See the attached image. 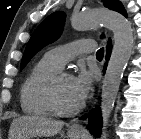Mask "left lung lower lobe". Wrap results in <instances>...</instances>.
<instances>
[{
  "label": "left lung lower lobe",
  "instance_id": "1",
  "mask_svg": "<svg viewBox=\"0 0 141 139\" xmlns=\"http://www.w3.org/2000/svg\"><path fill=\"white\" fill-rule=\"evenodd\" d=\"M110 52H111V41L109 40L108 45H107L106 60L109 59ZM106 66H107V63L104 66V72H105ZM86 118H87V115L81 117L82 120H84ZM101 126H102V118H101L100 109L96 108L95 110H93L91 112V114L89 116V122H88L87 128L89 129V131L92 135H94L95 137H100Z\"/></svg>",
  "mask_w": 141,
  "mask_h": 139
}]
</instances>
